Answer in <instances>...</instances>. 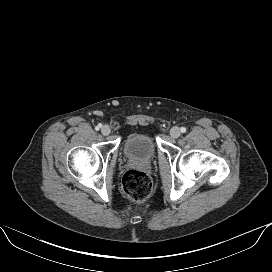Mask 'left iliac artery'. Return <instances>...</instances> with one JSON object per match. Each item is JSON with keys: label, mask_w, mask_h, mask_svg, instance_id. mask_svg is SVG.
Wrapping results in <instances>:
<instances>
[{"label": "left iliac artery", "mask_w": 272, "mask_h": 272, "mask_svg": "<svg viewBox=\"0 0 272 272\" xmlns=\"http://www.w3.org/2000/svg\"><path fill=\"white\" fill-rule=\"evenodd\" d=\"M180 131H181L182 133H185V132H186V128H185V127H181V128H180Z\"/></svg>", "instance_id": "44dca946"}]
</instances>
